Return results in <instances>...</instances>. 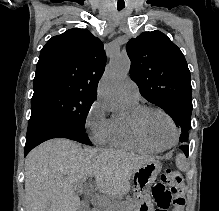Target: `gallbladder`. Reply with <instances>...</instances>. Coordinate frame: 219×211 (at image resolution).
Returning a JSON list of instances; mask_svg holds the SVG:
<instances>
[{
    "label": "gallbladder",
    "mask_w": 219,
    "mask_h": 211,
    "mask_svg": "<svg viewBox=\"0 0 219 211\" xmlns=\"http://www.w3.org/2000/svg\"><path fill=\"white\" fill-rule=\"evenodd\" d=\"M78 211H89V207L87 205H80V209Z\"/></svg>",
    "instance_id": "1"
}]
</instances>
